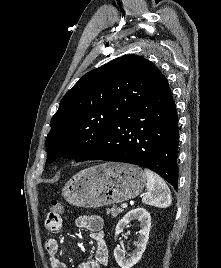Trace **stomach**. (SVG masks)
<instances>
[{
	"label": "stomach",
	"instance_id": "obj_1",
	"mask_svg": "<svg viewBox=\"0 0 221 268\" xmlns=\"http://www.w3.org/2000/svg\"><path fill=\"white\" fill-rule=\"evenodd\" d=\"M146 181L139 166L107 162L75 174L63 187L62 195L72 205L97 208L135 198Z\"/></svg>",
	"mask_w": 221,
	"mask_h": 268
}]
</instances>
